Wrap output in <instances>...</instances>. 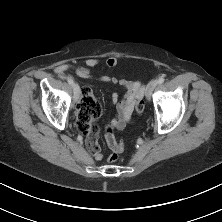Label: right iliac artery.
<instances>
[{
  "label": "right iliac artery",
  "instance_id": "82829eb1",
  "mask_svg": "<svg viewBox=\"0 0 222 222\" xmlns=\"http://www.w3.org/2000/svg\"><path fill=\"white\" fill-rule=\"evenodd\" d=\"M67 81H68V83H69L71 86H74V81H73V79H72L71 77H68V78H67Z\"/></svg>",
  "mask_w": 222,
  "mask_h": 222
}]
</instances>
